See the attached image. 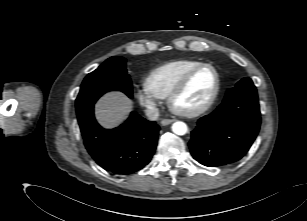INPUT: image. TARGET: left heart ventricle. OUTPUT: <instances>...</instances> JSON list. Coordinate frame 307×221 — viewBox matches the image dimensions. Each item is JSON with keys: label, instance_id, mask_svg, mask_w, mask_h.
<instances>
[{"label": "left heart ventricle", "instance_id": "1", "mask_svg": "<svg viewBox=\"0 0 307 221\" xmlns=\"http://www.w3.org/2000/svg\"><path fill=\"white\" fill-rule=\"evenodd\" d=\"M215 80V74L212 69H202L194 76L186 90L177 98L176 107L183 111H190L202 106L213 93Z\"/></svg>", "mask_w": 307, "mask_h": 221}]
</instances>
